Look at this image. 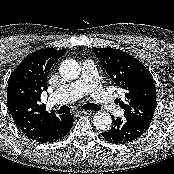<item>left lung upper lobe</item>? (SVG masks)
Wrapping results in <instances>:
<instances>
[{
	"mask_svg": "<svg viewBox=\"0 0 174 174\" xmlns=\"http://www.w3.org/2000/svg\"><path fill=\"white\" fill-rule=\"evenodd\" d=\"M101 65L115 83L124 89L125 101L116 103L128 120L150 125L156 109V88L148 69L133 56L113 48H92Z\"/></svg>",
	"mask_w": 174,
	"mask_h": 174,
	"instance_id": "1",
	"label": "left lung upper lobe"
}]
</instances>
